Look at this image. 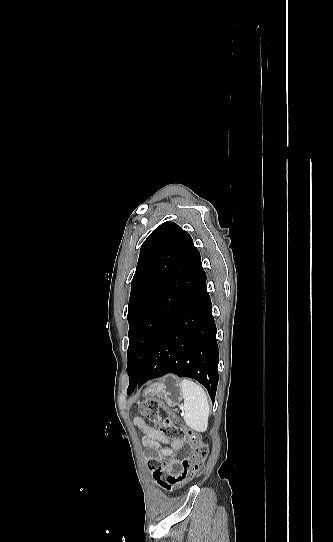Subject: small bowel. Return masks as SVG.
Instances as JSON below:
<instances>
[{
  "mask_svg": "<svg viewBox=\"0 0 333 542\" xmlns=\"http://www.w3.org/2000/svg\"><path fill=\"white\" fill-rule=\"evenodd\" d=\"M134 424L143 431L142 443L152 453L155 462L168 458L172 459L175 453L182 450L180 442L169 440L159 429L146 424L142 418L136 417ZM173 461L175 459L171 460V462ZM158 482L161 485L169 484L167 479H159Z\"/></svg>",
  "mask_w": 333,
  "mask_h": 542,
  "instance_id": "obj_1",
  "label": "small bowel"
}]
</instances>
